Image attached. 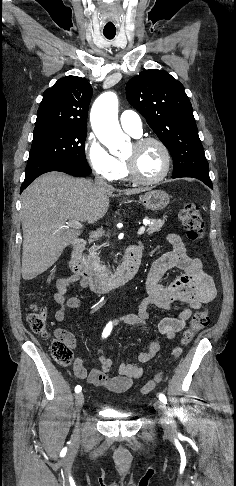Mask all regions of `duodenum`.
Wrapping results in <instances>:
<instances>
[{
  "label": "duodenum",
  "mask_w": 236,
  "mask_h": 486,
  "mask_svg": "<svg viewBox=\"0 0 236 486\" xmlns=\"http://www.w3.org/2000/svg\"><path fill=\"white\" fill-rule=\"evenodd\" d=\"M85 241L77 239L71 244V271L82 279L94 292H106L130 281L140 266L142 250L138 245L126 249L124 260L117 271L111 275L88 267L83 260Z\"/></svg>",
  "instance_id": "410a0bca"
}]
</instances>
